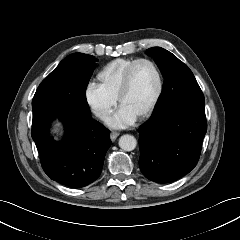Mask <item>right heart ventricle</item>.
I'll use <instances>...</instances> for the list:
<instances>
[{
	"mask_svg": "<svg viewBox=\"0 0 240 240\" xmlns=\"http://www.w3.org/2000/svg\"><path fill=\"white\" fill-rule=\"evenodd\" d=\"M133 58H117L103 66L97 74L99 86L111 97H118L122 79Z\"/></svg>",
	"mask_w": 240,
	"mask_h": 240,
	"instance_id": "right-heart-ventricle-1",
	"label": "right heart ventricle"
}]
</instances>
